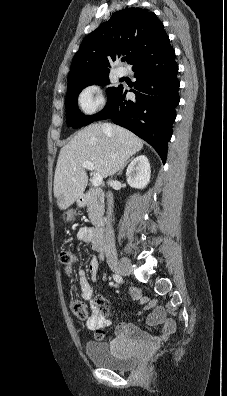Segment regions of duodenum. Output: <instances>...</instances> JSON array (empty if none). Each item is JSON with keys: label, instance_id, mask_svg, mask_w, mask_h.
<instances>
[{"label": "duodenum", "instance_id": "410a0bca", "mask_svg": "<svg viewBox=\"0 0 227 396\" xmlns=\"http://www.w3.org/2000/svg\"><path fill=\"white\" fill-rule=\"evenodd\" d=\"M103 196V191L100 188H92L86 193L82 194L77 203L79 206L87 205L92 199ZM93 242L99 248L103 249L105 246V228L104 226H99L93 230Z\"/></svg>", "mask_w": 227, "mask_h": 396}]
</instances>
